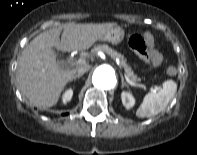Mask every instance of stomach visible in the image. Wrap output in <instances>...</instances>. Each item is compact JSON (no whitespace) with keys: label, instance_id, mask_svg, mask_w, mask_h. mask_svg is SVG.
Instances as JSON below:
<instances>
[{"label":"stomach","instance_id":"1","mask_svg":"<svg viewBox=\"0 0 197 155\" xmlns=\"http://www.w3.org/2000/svg\"><path fill=\"white\" fill-rule=\"evenodd\" d=\"M125 31L119 27H113L100 37L102 41H108L112 44L120 43L124 39Z\"/></svg>","mask_w":197,"mask_h":155}]
</instances>
